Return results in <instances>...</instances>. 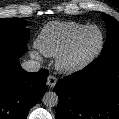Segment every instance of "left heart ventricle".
I'll return each mask as SVG.
<instances>
[{
    "label": "left heart ventricle",
    "mask_w": 119,
    "mask_h": 119,
    "mask_svg": "<svg viewBox=\"0 0 119 119\" xmlns=\"http://www.w3.org/2000/svg\"><path fill=\"white\" fill-rule=\"evenodd\" d=\"M99 42V32L95 29L88 31L77 42L72 53V59L81 60L88 57L97 49Z\"/></svg>",
    "instance_id": "obj_1"
}]
</instances>
